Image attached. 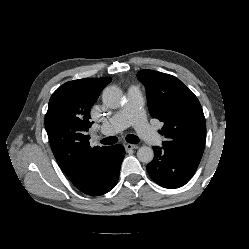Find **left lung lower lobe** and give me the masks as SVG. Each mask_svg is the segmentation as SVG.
<instances>
[{"label": "left lung lower lobe", "mask_w": 249, "mask_h": 249, "mask_svg": "<svg viewBox=\"0 0 249 249\" xmlns=\"http://www.w3.org/2000/svg\"><path fill=\"white\" fill-rule=\"evenodd\" d=\"M154 159L147 165L150 177L164 188L174 189L185 185L199 164L166 147H153Z\"/></svg>", "instance_id": "obj_1"}]
</instances>
